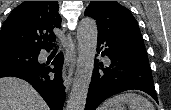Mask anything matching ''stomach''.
Listing matches in <instances>:
<instances>
[{"label": "stomach", "instance_id": "stomach-1", "mask_svg": "<svg viewBox=\"0 0 171 110\" xmlns=\"http://www.w3.org/2000/svg\"><path fill=\"white\" fill-rule=\"evenodd\" d=\"M124 107H125L124 104H121V105L119 106L120 110H123Z\"/></svg>", "mask_w": 171, "mask_h": 110}]
</instances>
